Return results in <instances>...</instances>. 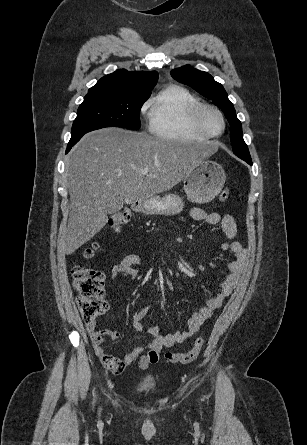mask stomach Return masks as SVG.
<instances>
[{
  "label": "stomach",
  "mask_w": 307,
  "mask_h": 445,
  "mask_svg": "<svg viewBox=\"0 0 307 445\" xmlns=\"http://www.w3.org/2000/svg\"><path fill=\"white\" fill-rule=\"evenodd\" d=\"M226 180L223 166L215 160H200L184 178L186 196L197 202H211L221 192ZM184 208L183 198L179 194L164 196H146L141 202L145 214H179Z\"/></svg>",
  "instance_id": "obj_1"
}]
</instances>
